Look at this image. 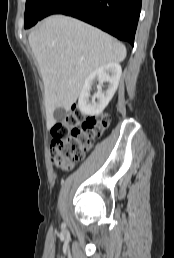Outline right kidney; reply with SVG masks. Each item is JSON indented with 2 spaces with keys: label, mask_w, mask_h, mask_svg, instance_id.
I'll list each match as a JSON object with an SVG mask.
<instances>
[{
  "label": "right kidney",
  "mask_w": 174,
  "mask_h": 258,
  "mask_svg": "<svg viewBox=\"0 0 174 258\" xmlns=\"http://www.w3.org/2000/svg\"><path fill=\"white\" fill-rule=\"evenodd\" d=\"M121 73L120 64L114 62L97 68L85 79L78 99V107L82 114L94 116L106 108L117 90ZM96 80L99 82L97 93L89 101L90 91ZM103 83H107L106 91H102Z\"/></svg>",
  "instance_id": "1"
}]
</instances>
